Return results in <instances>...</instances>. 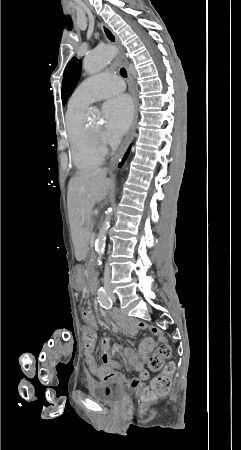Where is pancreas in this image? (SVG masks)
Masks as SVG:
<instances>
[{
  "label": "pancreas",
  "instance_id": "1",
  "mask_svg": "<svg viewBox=\"0 0 241 450\" xmlns=\"http://www.w3.org/2000/svg\"><path fill=\"white\" fill-rule=\"evenodd\" d=\"M88 233H90V232H88V230H85V232H84V240H88Z\"/></svg>",
  "mask_w": 241,
  "mask_h": 450
}]
</instances>
